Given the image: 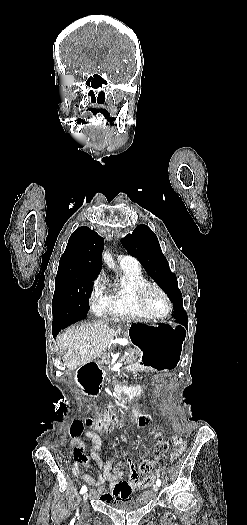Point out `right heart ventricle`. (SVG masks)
<instances>
[{"label": "right heart ventricle", "mask_w": 247, "mask_h": 525, "mask_svg": "<svg viewBox=\"0 0 247 525\" xmlns=\"http://www.w3.org/2000/svg\"><path fill=\"white\" fill-rule=\"evenodd\" d=\"M120 278L113 285L115 299L107 304L100 314L104 317H149L136 302L133 288L146 280L138 262L130 256H120Z\"/></svg>", "instance_id": "obj_1"}]
</instances>
